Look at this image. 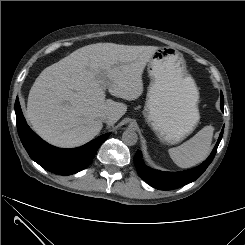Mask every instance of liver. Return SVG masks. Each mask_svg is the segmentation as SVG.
<instances>
[{"mask_svg": "<svg viewBox=\"0 0 245 245\" xmlns=\"http://www.w3.org/2000/svg\"><path fill=\"white\" fill-rule=\"evenodd\" d=\"M157 46L96 43L45 68L30 89L27 118L34 131L62 148L81 146L99 134L103 116L115 124L127 111L121 102L143 93L142 74Z\"/></svg>", "mask_w": 245, "mask_h": 245, "instance_id": "6515ba94", "label": "liver"}]
</instances>
